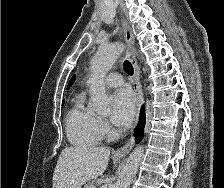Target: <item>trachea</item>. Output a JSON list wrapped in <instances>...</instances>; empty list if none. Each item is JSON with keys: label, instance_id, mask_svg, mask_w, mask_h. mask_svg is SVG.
I'll use <instances>...</instances> for the list:
<instances>
[{"label": "trachea", "instance_id": "3493384b", "mask_svg": "<svg viewBox=\"0 0 224 188\" xmlns=\"http://www.w3.org/2000/svg\"><path fill=\"white\" fill-rule=\"evenodd\" d=\"M124 69H125V71L127 72L128 75H130V76L133 75V72H134L133 66L131 65V63L128 60H126L124 62Z\"/></svg>", "mask_w": 224, "mask_h": 188}]
</instances>
